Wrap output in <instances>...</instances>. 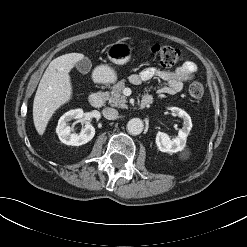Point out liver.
<instances>
[{"mask_svg":"<svg viewBox=\"0 0 247 247\" xmlns=\"http://www.w3.org/2000/svg\"><path fill=\"white\" fill-rule=\"evenodd\" d=\"M84 58L81 53H69L52 60L38 85L33 102V121L43 135L55 111L72 99L70 71Z\"/></svg>","mask_w":247,"mask_h":247,"instance_id":"6515ba94","label":"liver"}]
</instances>
